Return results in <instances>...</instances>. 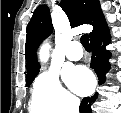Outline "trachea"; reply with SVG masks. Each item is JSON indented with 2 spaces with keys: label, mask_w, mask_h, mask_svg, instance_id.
Segmentation results:
<instances>
[{
  "label": "trachea",
  "mask_w": 121,
  "mask_h": 113,
  "mask_svg": "<svg viewBox=\"0 0 121 113\" xmlns=\"http://www.w3.org/2000/svg\"><path fill=\"white\" fill-rule=\"evenodd\" d=\"M80 40H81V44L83 45V47L86 50H90V44H89V37H88V35L87 34L82 35Z\"/></svg>",
  "instance_id": "trachea-1"
}]
</instances>
